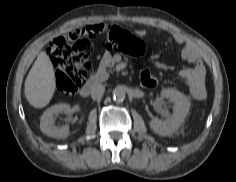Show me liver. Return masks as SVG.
I'll list each match as a JSON object with an SVG mask.
<instances>
[{
  "instance_id": "1",
  "label": "liver",
  "mask_w": 236,
  "mask_h": 182,
  "mask_svg": "<svg viewBox=\"0 0 236 182\" xmlns=\"http://www.w3.org/2000/svg\"><path fill=\"white\" fill-rule=\"evenodd\" d=\"M56 90L55 73L45 51L38 54L25 80V96L34 108L49 104Z\"/></svg>"
}]
</instances>
